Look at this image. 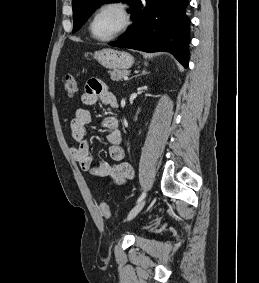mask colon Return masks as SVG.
Here are the masks:
<instances>
[{
  "instance_id": "obj_1",
  "label": "colon",
  "mask_w": 259,
  "mask_h": 283,
  "mask_svg": "<svg viewBox=\"0 0 259 283\" xmlns=\"http://www.w3.org/2000/svg\"><path fill=\"white\" fill-rule=\"evenodd\" d=\"M64 90L69 97H73L77 92V81L72 74H67L63 80ZM100 212L108 217L110 215L109 206L106 203L99 205Z\"/></svg>"
}]
</instances>
